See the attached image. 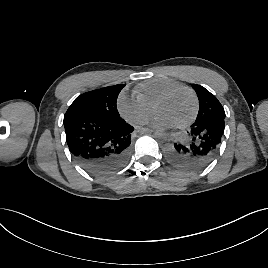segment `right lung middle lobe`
Instances as JSON below:
<instances>
[{"label": "right lung middle lobe", "mask_w": 268, "mask_h": 268, "mask_svg": "<svg viewBox=\"0 0 268 268\" xmlns=\"http://www.w3.org/2000/svg\"><path fill=\"white\" fill-rule=\"evenodd\" d=\"M125 84L108 86L78 96L65 113L64 120L85 113L106 118L119 117L116 102Z\"/></svg>", "instance_id": "obj_1"}]
</instances>
